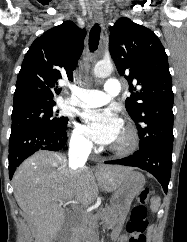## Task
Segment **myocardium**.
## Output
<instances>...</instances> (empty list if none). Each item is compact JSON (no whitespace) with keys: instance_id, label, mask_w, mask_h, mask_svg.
I'll list each match as a JSON object with an SVG mask.
<instances>
[{"instance_id":"1","label":"myocardium","mask_w":187,"mask_h":242,"mask_svg":"<svg viewBox=\"0 0 187 242\" xmlns=\"http://www.w3.org/2000/svg\"><path fill=\"white\" fill-rule=\"evenodd\" d=\"M123 126L128 135V142L122 147H110V151L116 155L125 156L135 152L140 145V136L137 127L129 120L123 121Z\"/></svg>"}]
</instances>
